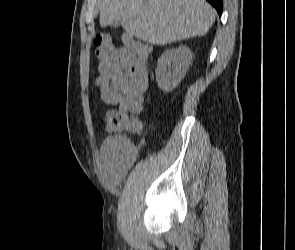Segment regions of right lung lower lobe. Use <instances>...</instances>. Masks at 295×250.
Instances as JSON below:
<instances>
[{
  "label": "right lung lower lobe",
  "mask_w": 295,
  "mask_h": 250,
  "mask_svg": "<svg viewBox=\"0 0 295 250\" xmlns=\"http://www.w3.org/2000/svg\"><path fill=\"white\" fill-rule=\"evenodd\" d=\"M218 12L219 15L222 13L223 0H207Z\"/></svg>",
  "instance_id": "right-lung-lower-lobe-1"
}]
</instances>
